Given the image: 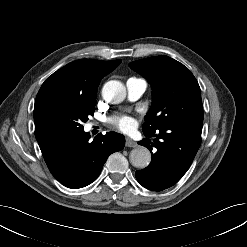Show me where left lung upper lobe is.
Listing matches in <instances>:
<instances>
[{"label": "left lung upper lobe", "instance_id": "1", "mask_svg": "<svg viewBox=\"0 0 247 247\" xmlns=\"http://www.w3.org/2000/svg\"><path fill=\"white\" fill-rule=\"evenodd\" d=\"M129 66L143 75L153 89L152 107L143 124L144 134L177 121L203 123L200 87L187 67L165 55L137 60Z\"/></svg>", "mask_w": 247, "mask_h": 247}]
</instances>
